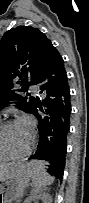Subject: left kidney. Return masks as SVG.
<instances>
[{"label":"left kidney","instance_id":"obj_1","mask_svg":"<svg viewBox=\"0 0 89 203\" xmlns=\"http://www.w3.org/2000/svg\"><path fill=\"white\" fill-rule=\"evenodd\" d=\"M32 200H35V203H39L41 201L42 203H51V197L48 193L47 188H35L32 190V194L30 197L25 201V203H31Z\"/></svg>","mask_w":89,"mask_h":203}]
</instances>
